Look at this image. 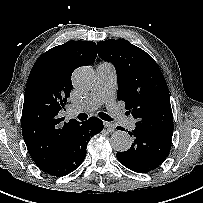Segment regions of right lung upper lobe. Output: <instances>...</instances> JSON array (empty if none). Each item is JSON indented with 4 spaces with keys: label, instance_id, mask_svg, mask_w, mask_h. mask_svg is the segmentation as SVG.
I'll return each instance as SVG.
<instances>
[{
    "label": "right lung upper lobe",
    "instance_id": "obj_1",
    "mask_svg": "<svg viewBox=\"0 0 203 203\" xmlns=\"http://www.w3.org/2000/svg\"><path fill=\"white\" fill-rule=\"evenodd\" d=\"M97 47L90 41H68L43 53L27 80L22 110V134L30 156L40 168L56 159L75 119L64 122L58 113L70 97L72 72L90 65Z\"/></svg>",
    "mask_w": 203,
    "mask_h": 203
}]
</instances>
